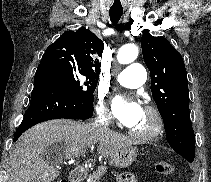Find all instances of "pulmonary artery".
I'll return each mask as SVG.
<instances>
[{
  "label": "pulmonary artery",
  "mask_w": 211,
  "mask_h": 182,
  "mask_svg": "<svg viewBox=\"0 0 211 182\" xmlns=\"http://www.w3.org/2000/svg\"><path fill=\"white\" fill-rule=\"evenodd\" d=\"M145 79L146 70L139 63L130 64L116 76V80L119 84L129 88H137L143 85Z\"/></svg>",
  "instance_id": "e3ab8cb5"
}]
</instances>
